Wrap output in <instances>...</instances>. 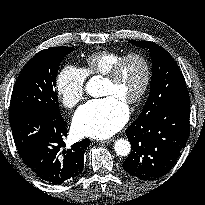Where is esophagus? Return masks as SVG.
I'll list each match as a JSON object with an SVG mask.
<instances>
[{
  "instance_id": "1",
  "label": "esophagus",
  "mask_w": 205,
  "mask_h": 205,
  "mask_svg": "<svg viewBox=\"0 0 205 205\" xmlns=\"http://www.w3.org/2000/svg\"><path fill=\"white\" fill-rule=\"evenodd\" d=\"M114 141V138H111V139H107V140H104L102 141V143H105V144H110Z\"/></svg>"
}]
</instances>
